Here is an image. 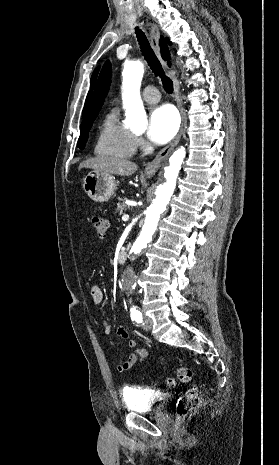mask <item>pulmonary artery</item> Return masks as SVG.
<instances>
[{"label": "pulmonary artery", "instance_id": "pulmonary-artery-1", "mask_svg": "<svg viewBox=\"0 0 279 465\" xmlns=\"http://www.w3.org/2000/svg\"><path fill=\"white\" fill-rule=\"evenodd\" d=\"M142 97L145 102L153 104L160 100V93L154 86H148L144 89Z\"/></svg>", "mask_w": 279, "mask_h": 465}]
</instances>
